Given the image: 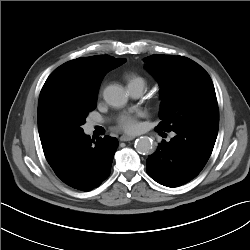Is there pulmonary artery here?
I'll return each instance as SVG.
<instances>
[{
    "label": "pulmonary artery",
    "mask_w": 250,
    "mask_h": 250,
    "mask_svg": "<svg viewBox=\"0 0 250 250\" xmlns=\"http://www.w3.org/2000/svg\"><path fill=\"white\" fill-rule=\"evenodd\" d=\"M127 90L132 97L138 98L144 92V84L140 82L130 83L127 85ZM96 124H97L96 122L92 121L89 123V127L93 128L94 126H96Z\"/></svg>",
    "instance_id": "1"
}]
</instances>
